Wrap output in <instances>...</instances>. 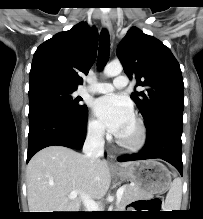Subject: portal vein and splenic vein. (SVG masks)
<instances>
[{
  "mask_svg": "<svg viewBox=\"0 0 203 219\" xmlns=\"http://www.w3.org/2000/svg\"><path fill=\"white\" fill-rule=\"evenodd\" d=\"M123 193H124V188L120 187L116 192L117 203L121 201ZM77 195H78V192L73 191L69 194L68 198L75 199ZM81 199L83 201V204L89 211H99V205L94 200H92L88 195L82 194Z\"/></svg>",
  "mask_w": 203,
  "mask_h": 219,
  "instance_id": "1",
  "label": "portal vein and splenic vein"
}]
</instances>
